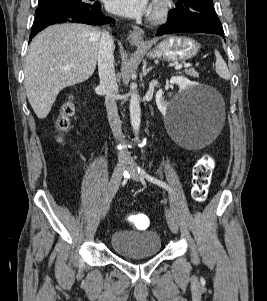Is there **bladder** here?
Returning <instances> with one entry per match:
<instances>
[{
  "label": "bladder",
  "instance_id": "bladder-1",
  "mask_svg": "<svg viewBox=\"0 0 267 301\" xmlns=\"http://www.w3.org/2000/svg\"><path fill=\"white\" fill-rule=\"evenodd\" d=\"M112 250L124 259L146 258L159 254L161 237L151 230H118L110 237Z\"/></svg>",
  "mask_w": 267,
  "mask_h": 301
}]
</instances>
